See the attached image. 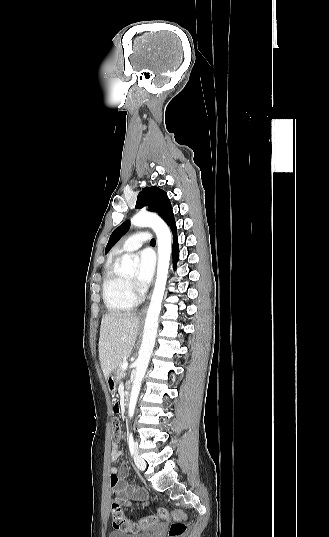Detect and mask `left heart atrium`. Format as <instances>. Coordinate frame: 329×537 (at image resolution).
Returning a JSON list of instances; mask_svg holds the SVG:
<instances>
[{"mask_svg":"<svg viewBox=\"0 0 329 537\" xmlns=\"http://www.w3.org/2000/svg\"><path fill=\"white\" fill-rule=\"evenodd\" d=\"M155 259L153 254L149 250H143L138 256V270L136 274L135 282L141 289L145 288L154 272Z\"/></svg>","mask_w":329,"mask_h":537,"instance_id":"left-heart-atrium-1","label":"left heart atrium"}]
</instances>
